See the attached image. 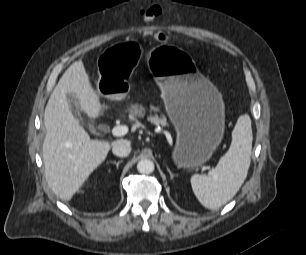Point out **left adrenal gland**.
Here are the masks:
<instances>
[{"label":"left adrenal gland","mask_w":306,"mask_h":255,"mask_svg":"<svg viewBox=\"0 0 306 255\" xmlns=\"http://www.w3.org/2000/svg\"><path fill=\"white\" fill-rule=\"evenodd\" d=\"M166 168H167V171H168L169 174H170V177L173 178V174H172V172L170 171V169L168 168V166H166Z\"/></svg>","instance_id":"obj_1"}]
</instances>
